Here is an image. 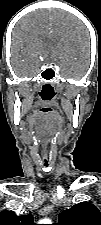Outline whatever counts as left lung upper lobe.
I'll list each match as a JSON object with an SVG mask.
<instances>
[{
    "mask_svg": "<svg viewBox=\"0 0 101 225\" xmlns=\"http://www.w3.org/2000/svg\"><path fill=\"white\" fill-rule=\"evenodd\" d=\"M57 225H101V213L95 205L81 202L62 211Z\"/></svg>",
    "mask_w": 101,
    "mask_h": 225,
    "instance_id": "1",
    "label": "left lung upper lobe"
}]
</instances>
